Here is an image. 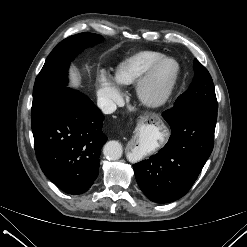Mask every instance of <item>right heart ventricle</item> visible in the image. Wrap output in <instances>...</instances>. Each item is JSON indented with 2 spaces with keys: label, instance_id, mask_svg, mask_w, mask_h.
<instances>
[{
  "label": "right heart ventricle",
  "instance_id": "1",
  "mask_svg": "<svg viewBox=\"0 0 247 247\" xmlns=\"http://www.w3.org/2000/svg\"><path fill=\"white\" fill-rule=\"evenodd\" d=\"M157 51H139L124 58L115 68L114 77L120 85L136 83L160 57Z\"/></svg>",
  "mask_w": 247,
  "mask_h": 247
}]
</instances>
